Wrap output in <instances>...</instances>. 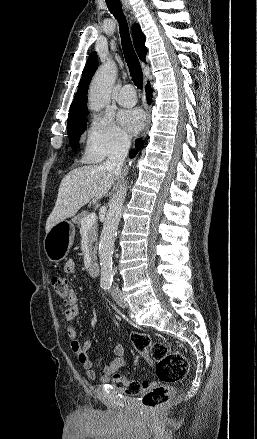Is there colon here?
Here are the masks:
<instances>
[{"label": "colon", "mask_w": 257, "mask_h": 439, "mask_svg": "<svg viewBox=\"0 0 257 439\" xmlns=\"http://www.w3.org/2000/svg\"><path fill=\"white\" fill-rule=\"evenodd\" d=\"M51 284L56 294L67 305L73 294L67 279L56 275L51 278ZM131 340L136 351L155 367L161 383H140L123 375L116 376L114 383L116 387L127 394H137L145 390L143 404L151 409L161 407L173 395L171 384L182 380L187 375L189 369L188 360L181 351L171 350L162 342H153L148 333L135 331L131 335Z\"/></svg>", "instance_id": "colon-1"}]
</instances>
